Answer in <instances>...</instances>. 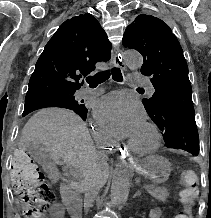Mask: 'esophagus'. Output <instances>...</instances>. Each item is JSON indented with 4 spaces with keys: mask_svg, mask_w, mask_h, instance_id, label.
<instances>
[{
    "mask_svg": "<svg viewBox=\"0 0 211 218\" xmlns=\"http://www.w3.org/2000/svg\"><path fill=\"white\" fill-rule=\"evenodd\" d=\"M113 63L116 67L124 69L122 54L119 51H115ZM114 149L120 153V155H118V160H125V163L130 167V171H140L141 163H138V159H134L130 148H125V145H115Z\"/></svg>",
    "mask_w": 211,
    "mask_h": 218,
    "instance_id": "1",
    "label": "esophagus"
}]
</instances>
